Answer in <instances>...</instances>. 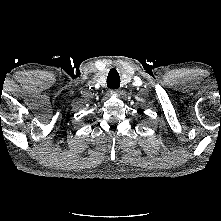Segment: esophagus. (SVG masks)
<instances>
[{
    "label": "esophagus",
    "instance_id": "34e87169",
    "mask_svg": "<svg viewBox=\"0 0 221 221\" xmlns=\"http://www.w3.org/2000/svg\"><path fill=\"white\" fill-rule=\"evenodd\" d=\"M118 92H119L118 89H112V90H110V93H114V94H116V93H118Z\"/></svg>",
    "mask_w": 221,
    "mask_h": 221
}]
</instances>
